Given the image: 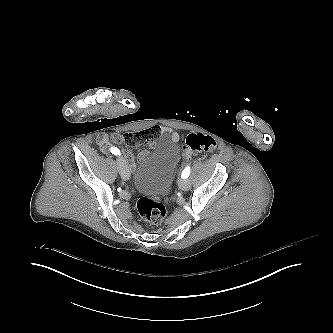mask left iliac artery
<instances>
[{
    "label": "left iliac artery",
    "mask_w": 333,
    "mask_h": 333,
    "mask_svg": "<svg viewBox=\"0 0 333 333\" xmlns=\"http://www.w3.org/2000/svg\"><path fill=\"white\" fill-rule=\"evenodd\" d=\"M189 174H190V167L187 166V167L183 170V172H182V174H181V177L186 179V178H188Z\"/></svg>",
    "instance_id": "left-iliac-artery-1"
}]
</instances>
